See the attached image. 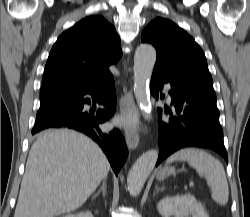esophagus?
<instances>
[{
  "mask_svg": "<svg viewBox=\"0 0 250 217\" xmlns=\"http://www.w3.org/2000/svg\"><path fill=\"white\" fill-rule=\"evenodd\" d=\"M135 110V101L132 91L126 92L120 100V111L123 116ZM126 144L129 149L134 150L139 144V134L135 128L124 127Z\"/></svg>",
  "mask_w": 250,
  "mask_h": 217,
  "instance_id": "obj_1",
  "label": "esophagus"
}]
</instances>
